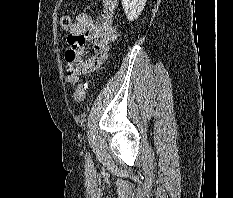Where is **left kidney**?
<instances>
[{
	"label": "left kidney",
	"mask_w": 233,
	"mask_h": 198,
	"mask_svg": "<svg viewBox=\"0 0 233 198\" xmlns=\"http://www.w3.org/2000/svg\"><path fill=\"white\" fill-rule=\"evenodd\" d=\"M147 0H122L123 9L129 21L138 18L144 9Z\"/></svg>",
	"instance_id": "1"
}]
</instances>
